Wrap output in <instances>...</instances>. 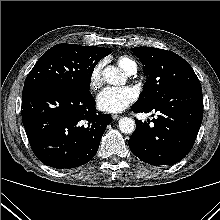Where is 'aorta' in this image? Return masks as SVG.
Instances as JSON below:
<instances>
[{
	"label": "aorta",
	"instance_id": "aorta-1",
	"mask_svg": "<svg viewBox=\"0 0 220 220\" xmlns=\"http://www.w3.org/2000/svg\"><path fill=\"white\" fill-rule=\"evenodd\" d=\"M104 80L111 85H122L126 79L122 71L114 66H107L102 72ZM119 129L122 133L131 134L135 130V121L129 117H123L119 120Z\"/></svg>",
	"mask_w": 220,
	"mask_h": 220
}]
</instances>
